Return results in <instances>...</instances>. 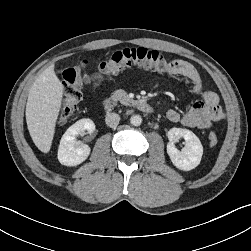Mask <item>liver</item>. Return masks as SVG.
Returning a JSON list of instances; mask_svg holds the SVG:
<instances>
[{
    "label": "liver",
    "instance_id": "6515ba94",
    "mask_svg": "<svg viewBox=\"0 0 251 251\" xmlns=\"http://www.w3.org/2000/svg\"><path fill=\"white\" fill-rule=\"evenodd\" d=\"M46 68L32 84L26 104V122L36 147L43 153L51 149L56 121L62 105L63 85L54 71Z\"/></svg>",
    "mask_w": 251,
    "mask_h": 251
}]
</instances>
